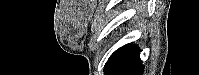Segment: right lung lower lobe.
<instances>
[{
  "instance_id": "right-lung-lower-lobe-1",
  "label": "right lung lower lobe",
  "mask_w": 199,
  "mask_h": 75,
  "mask_svg": "<svg viewBox=\"0 0 199 75\" xmlns=\"http://www.w3.org/2000/svg\"><path fill=\"white\" fill-rule=\"evenodd\" d=\"M135 44H127L115 51L104 67L105 75H143L144 66Z\"/></svg>"
}]
</instances>
